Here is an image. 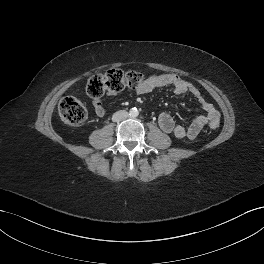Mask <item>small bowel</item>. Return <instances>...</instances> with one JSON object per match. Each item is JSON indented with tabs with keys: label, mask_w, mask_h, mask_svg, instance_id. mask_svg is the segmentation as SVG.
<instances>
[{
	"label": "small bowel",
	"mask_w": 264,
	"mask_h": 264,
	"mask_svg": "<svg viewBox=\"0 0 264 264\" xmlns=\"http://www.w3.org/2000/svg\"><path fill=\"white\" fill-rule=\"evenodd\" d=\"M163 87H171L177 95L191 94L206 113L205 115L196 117L188 127L176 124L169 114L161 113L158 117V123L164 132L173 134L179 139H194L209 122L219 121L220 113L215 106L203 97L197 87L176 74H152L137 88V93L146 94L156 88ZM92 106L98 117H104L106 115V109L100 98H94Z\"/></svg>",
	"instance_id": "c3829d8e"
}]
</instances>
